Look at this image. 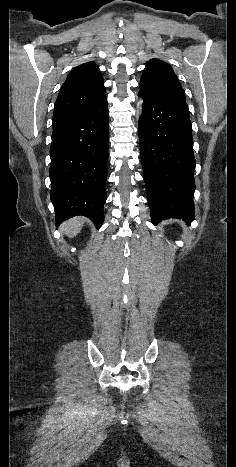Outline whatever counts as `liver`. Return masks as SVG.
<instances>
[{"label":"liver","instance_id":"6515ba94","mask_svg":"<svg viewBox=\"0 0 236 467\" xmlns=\"http://www.w3.org/2000/svg\"><path fill=\"white\" fill-rule=\"evenodd\" d=\"M83 223L84 220L82 218L75 217L64 222L61 226V229L68 237L73 238L80 232Z\"/></svg>","mask_w":236,"mask_h":467}]
</instances>
